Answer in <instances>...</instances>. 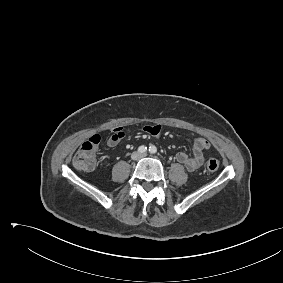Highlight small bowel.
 Wrapping results in <instances>:
<instances>
[{
  "label": "small bowel",
  "mask_w": 283,
  "mask_h": 283,
  "mask_svg": "<svg viewBox=\"0 0 283 283\" xmlns=\"http://www.w3.org/2000/svg\"><path fill=\"white\" fill-rule=\"evenodd\" d=\"M144 130L148 134L158 137L161 133V126H146ZM125 133L126 132L122 127H114L112 129V135L106 141V145L110 148L117 146L125 136ZM209 147V141L203 137H199L194 142L192 154L189 155L184 151H179L176 154V160L180 164H182L187 170L195 171L203 165L205 161L204 152L209 149Z\"/></svg>",
  "instance_id": "1"
}]
</instances>
